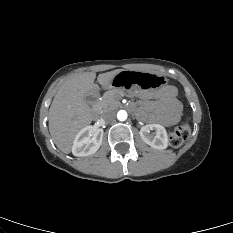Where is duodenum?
<instances>
[{"label": "duodenum", "instance_id": "1", "mask_svg": "<svg viewBox=\"0 0 233 233\" xmlns=\"http://www.w3.org/2000/svg\"><path fill=\"white\" fill-rule=\"evenodd\" d=\"M99 96H100V93L98 91L92 92L90 96L93 102L92 116L94 118H97L99 115V103H98Z\"/></svg>", "mask_w": 233, "mask_h": 233}]
</instances>
